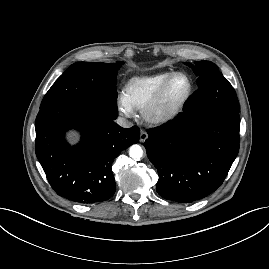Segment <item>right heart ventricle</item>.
I'll return each instance as SVG.
<instances>
[{"label": "right heart ventricle", "instance_id": "e07e8e85", "mask_svg": "<svg viewBox=\"0 0 269 269\" xmlns=\"http://www.w3.org/2000/svg\"><path fill=\"white\" fill-rule=\"evenodd\" d=\"M173 72L164 71L148 76L131 78L124 87V96L130 106L142 110L154 96L161 84Z\"/></svg>", "mask_w": 269, "mask_h": 269}]
</instances>
